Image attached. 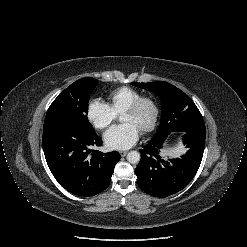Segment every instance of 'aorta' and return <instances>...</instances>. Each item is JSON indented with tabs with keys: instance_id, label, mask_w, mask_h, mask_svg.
I'll list each match as a JSON object with an SVG mask.
<instances>
[{
	"instance_id": "aorta-1",
	"label": "aorta",
	"mask_w": 247,
	"mask_h": 247,
	"mask_svg": "<svg viewBox=\"0 0 247 247\" xmlns=\"http://www.w3.org/2000/svg\"><path fill=\"white\" fill-rule=\"evenodd\" d=\"M127 161L131 164H136L140 161V153L137 151H130L127 154Z\"/></svg>"
}]
</instances>
